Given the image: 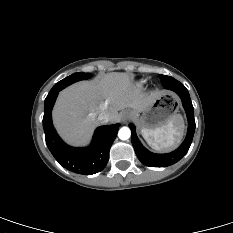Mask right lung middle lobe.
<instances>
[{
    "label": "right lung middle lobe",
    "instance_id": "1",
    "mask_svg": "<svg viewBox=\"0 0 233 233\" xmlns=\"http://www.w3.org/2000/svg\"><path fill=\"white\" fill-rule=\"evenodd\" d=\"M90 77H91L90 73H84V72L74 73L64 78L63 80L59 81L58 83H56L49 93H52L54 91H60L74 82L88 79Z\"/></svg>",
    "mask_w": 233,
    "mask_h": 233
}]
</instances>
